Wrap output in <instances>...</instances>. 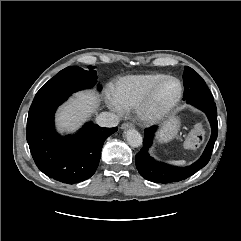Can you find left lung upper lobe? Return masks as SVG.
<instances>
[{
	"instance_id": "1",
	"label": "left lung upper lobe",
	"mask_w": 241,
	"mask_h": 241,
	"mask_svg": "<svg viewBox=\"0 0 241 241\" xmlns=\"http://www.w3.org/2000/svg\"><path fill=\"white\" fill-rule=\"evenodd\" d=\"M184 100L192 103L197 100H213V96L202 77L192 68L185 66L183 74Z\"/></svg>"
}]
</instances>
